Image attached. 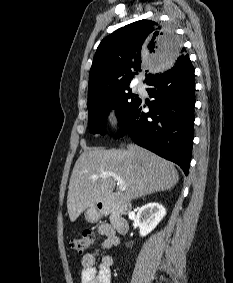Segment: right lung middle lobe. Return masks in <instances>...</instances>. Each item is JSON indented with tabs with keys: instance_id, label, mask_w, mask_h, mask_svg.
<instances>
[{
	"instance_id": "dd1d6c3e",
	"label": "right lung middle lobe",
	"mask_w": 233,
	"mask_h": 283,
	"mask_svg": "<svg viewBox=\"0 0 233 283\" xmlns=\"http://www.w3.org/2000/svg\"><path fill=\"white\" fill-rule=\"evenodd\" d=\"M140 99L134 98L130 89L112 94L104 100L88 107L90 132L104 135L105 123L111 109H116L119 124H122Z\"/></svg>"
}]
</instances>
